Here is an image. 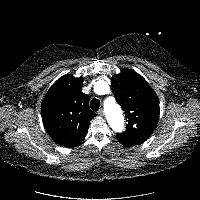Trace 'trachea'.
<instances>
[{
	"label": "trachea",
	"instance_id": "trachea-1",
	"mask_svg": "<svg viewBox=\"0 0 200 200\" xmlns=\"http://www.w3.org/2000/svg\"><path fill=\"white\" fill-rule=\"evenodd\" d=\"M90 107H91L92 110L98 111V109L100 107V101L98 99L91 100Z\"/></svg>",
	"mask_w": 200,
	"mask_h": 200
}]
</instances>
